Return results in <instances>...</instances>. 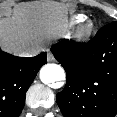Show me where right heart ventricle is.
I'll use <instances>...</instances> for the list:
<instances>
[{"label": "right heart ventricle", "mask_w": 117, "mask_h": 117, "mask_svg": "<svg viewBox=\"0 0 117 117\" xmlns=\"http://www.w3.org/2000/svg\"><path fill=\"white\" fill-rule=\"evenodd\" d=\"M83 16L82 15H78L77 17H76V19H75V21L76 22H80V21H82L83 20Z\"/></svg>", "instance_id": "obj_1"}]
</instances>
